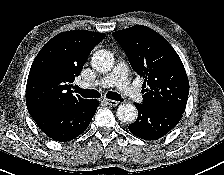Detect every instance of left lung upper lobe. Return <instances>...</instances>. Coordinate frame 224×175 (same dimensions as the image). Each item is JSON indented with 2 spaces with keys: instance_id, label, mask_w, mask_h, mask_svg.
Instances as JSON below:
<instances>
[{
  "instance_id": "obj_1",
  "label": "left lung upper lobe",
  "mask_w": 224,
  "mask_h": 175,
  "mask_svg": "<svg viewBox=\"0 0 224 175\" xmlns=\"http://www.w3.org/2000/svg\"><path fill=\"white\" fill-rule=\"evenodd\" d=\"M133 70L143 77L142 104L184 113L189 82L173 47L157 32L142 26L113 32Z\"/></svg>"
}]
</instances>
